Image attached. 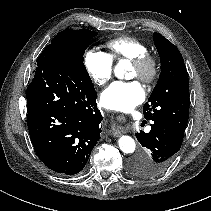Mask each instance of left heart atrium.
Listing matches in <instances>:
<instances>
[{
	"label": "left heart atrium",
	"mask_w": 211,
	"mask_h": 211,
	"mask_svg": "<svg viewBox=\"0 0 211 211\" xmlns=\"http://www.w3.org/2000/svg\"><path fill=\"white\" fill-rule=\"evenodd\" d=\"M101 104L112 111L128 112L145 99V91L138 81H116L101 94Z\"/></svg>",
	"instance_id": "39dd6f15"
}]
</instances>
